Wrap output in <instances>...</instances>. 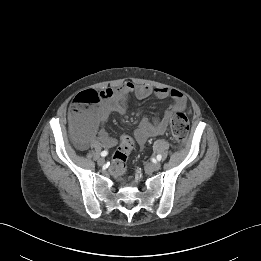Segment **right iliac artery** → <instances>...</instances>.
Returning a JSON list of instances; mask_svg holds the SVG:
<instances>
[{"mask_svg": "<svg viewBox=\"0 0 261 261\" xmlns=\"http://www.w3.org/2000/svg\"><path fill=\"white\" fill-rule=\"evenodd\" d=\"M107 154H108L107 151H102V152H101V156H102V157H105Z\"/></svg>", "mask_w": 261, "mask_h": 261, "instance_id": "right-iliac-artery-1", "label": "right iliac artery"}]
</instances>
